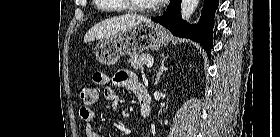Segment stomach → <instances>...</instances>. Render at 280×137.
I'll list each match as a JSON object with an SVG mask.
<instances>
[{"label": "stomach", "mask_w": 280, "mask_h": 137, "mask_svg": "<svg viewBox=\"0 0 280 137\" xmlns=\"http://www.w3.org/2000/svg\"><path fill=\"white\" fill-rule=\"evenodd\" d=\"M170 41L168 33L155 23H143L100 40L94 55L103 65H113L124 55H139L159 50Z\"/></svg>", "instance_id": "stomach-1"}]
</instances>
